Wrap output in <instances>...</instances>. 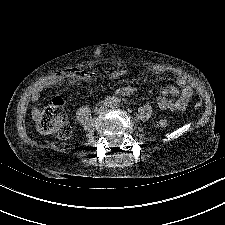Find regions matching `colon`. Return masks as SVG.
<instances>
[{
	"instance_id": "1",
	"label": "colon",
	"mask_w": 225,
	"mask_h": 225,
	"mask_svg": "<svg viewBox=\"0 0 225 225\" xmlns=\"http://www.w3.org/2000/svg\"><path fill=\"white\" fill-rule=\"evenodd\" d=\"M36 123L40 132L44 134H55L61 139H66L71 135V126L67 122L63 101L54 99L40 113L36 115ZM168 126L167 119H161L158 127Z\"/></svg>"
}]
</instances>
